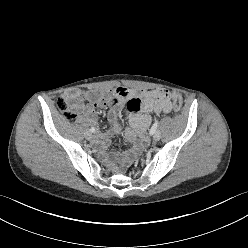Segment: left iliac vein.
<instances>
[{
  "label": "left iliac vein",
  "mask_w": 248,
  "mask_h": 248,
  "mask_svg": "<svg viewBox=\"0 0 248 248\" xmlns=\"http://www.w3.org/2000/svg\"><path fill=\"white\" fill-rule=\"evenodd\" d=\"M160 138H161V133H160L159 131H156V132L153 134V139H154L155 141H158V140H160Z\"/></svg>",
  "instance_id": "1"
}]
</instances>
